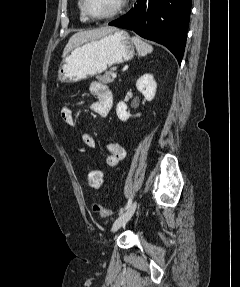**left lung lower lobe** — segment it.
Segmentation results:
<instances>
[{
    "mask_svg": "<svg viewBox=\"0 0 240 287\" xmlns=\"http://www.w3.org/2000/svg\"><path fill=\"white\" fill-rule=\"evenodd\" d=\"M191 0H137L124 16L109 23L133 30L143 38L166 46L182 61L186 45Z\"/></svg>",
    "mask_w": 240,
    "mask_h": 287,
    "instance_id": "1",
    "label": "left lung lower lobe"
}]
</instances>
